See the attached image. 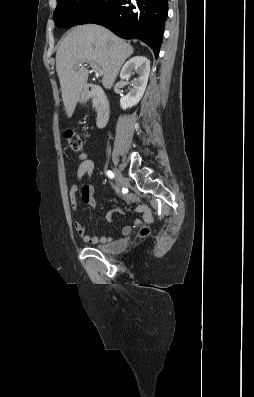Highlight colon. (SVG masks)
I'll use <instances>...</instances> for the list:
<instances>
[{
	"instance_id": "obj_1",
	"label": "colon",
	"mask_w": 254,
	"mask_h": 397,
	"mask_svg": "<svg viewBox=\"0 0 254 397\" xmlns=\"http://www.w3.org/2000/svg\"><path fill=\"white\" fill-rule=\"evenodd\" d=\"M65 137L68 141L69 147L74 152H79L82 149V146H83L82 138L77 132H75L71 129H67L65 131ZM147 233H148L147 229L142 230L143 235H145Z\"/></svg>"
}]
</instances>
